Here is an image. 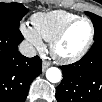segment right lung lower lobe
<instances>
[{
  "instance_id": "right-lung-lower-lobe-1",
  "label": "right lung lower lobe",
  "mask_w": 102,
  "mask_h": 102,
  "mask_svg": "<svg viewBox=\"0 0 102 102\" xmlns=\"http://www.w3.org/2000/svg\"><path fill=\"white\" fill-rule=\"evenodd\" d=\"M23 36L17 27L0 28V100L24 102L31 82L42 73V60L18 52Z\"/></svg>"
}]
</instances>
